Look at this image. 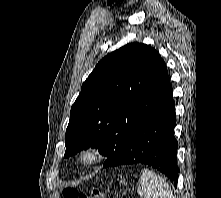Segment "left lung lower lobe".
Instances as JSON below:
<instances>
[{"label": "left lung lower lobe", "instance_id": "1", "mask_svg": "<svg viewBox=\"0 0 221 198\" xmlns=\"http://www.w3.org/2000/svg\"><path fill=\"white\" fill-rule=\"evenodd\" d=\"M176 125L172 86L169 82L164 95L103 167L146 164L164 173L177 187L178 166L174 137Z\"/></svg>", "mask_w": 221, "mask_h": 198}]
</instances>
